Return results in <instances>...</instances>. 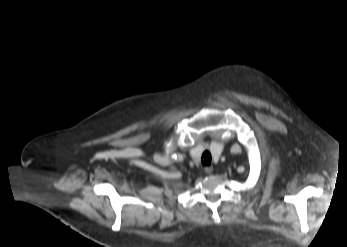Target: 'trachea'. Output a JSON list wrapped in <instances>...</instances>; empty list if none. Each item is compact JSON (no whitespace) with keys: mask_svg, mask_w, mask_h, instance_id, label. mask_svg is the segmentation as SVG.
<instances>
[{"mask_svg":"<svg viewBox=\"0 0 347 247\" xmlns=\"http://www.w3.org/2000/svg\"><path fill=\"white\" fill-rule=\"evenodd\" d=\"M202 163L204 165H210L211 164V155L208 151H205L203 154H202Z\"/></svg>","mask_w":347,"mask_h":247,"instance_id":"3493384b","label":"trachea"}]
</instances>
